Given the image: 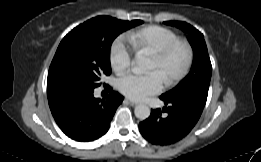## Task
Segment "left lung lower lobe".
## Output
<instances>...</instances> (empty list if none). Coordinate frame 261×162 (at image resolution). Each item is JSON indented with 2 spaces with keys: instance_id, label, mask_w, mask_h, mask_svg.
Here are the masks:
<instances>
[{
  "instance_id": "1",
  "label": "left lung lower lobe",
  "mask_w": 261,
  "mask_h": 162,
  "mask_svg": "<svg viewBox=\"0 0 261 162\" xmlns=\"http://www.w3.org/2000/svg\"><path fill=\"white\" fill-rule=\"evenodd\" d=\"M160 98L169 105L162 110L167 115L163 116L160 109L152 110L149 118L139 124V129L150 143L164 146L181 140L194 128L206 100L190 93Z\"/></svg>"
}]
</instances>
